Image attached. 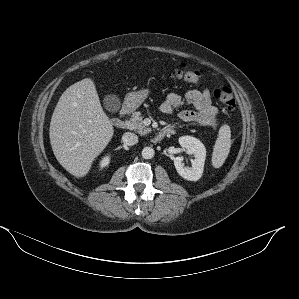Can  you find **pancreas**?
Masks as SVG:
<instances>
[{
	"mask_svg": "<svg viewBox=\"0 0 299 299\" xmlns=\"http://www.w3.org/2000/svg\"><path fill=\"white\" fill-rule=\"evenodd\" d=\"M127 128L136 131L138 134L145 135L148 134L151 129L145 127L143 124V118L141 112H135L130 120L126 121Z\"/></svg>",
	"mask_w": 299,
	"mask_h": 299,
	"instance_id": "obj_1",
	"label": "pancreas"
}]
</instances>
